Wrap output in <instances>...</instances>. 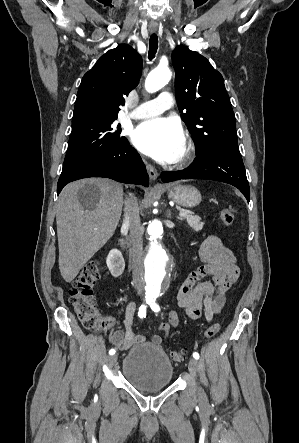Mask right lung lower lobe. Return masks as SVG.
Returning a JSON list of instances; mask_svg holds the SVG:
<instances>
[{"instance_id":"right-lung-lower-lobe-1","label":"right lung lower lobe","mask_w":299,"mask_h":443,"mask_svg":"<svg viewBox=\"0 0 299 443\" xmlns=\"http://www.w3.org/2000/svg\"><path fill=\"white\" fill-rule=\"evenodd\" d=\"M88 177H106L118 182L149 186L145 165L128 142L118 149L97 154L62 171L57 194L67 183Z\"/></svg>"}]
</instances>
